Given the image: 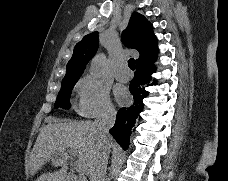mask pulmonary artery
Listing matches in <instances>:
<instances>
[{"instance_id":"1","label":"pulmonary artery","mask_w":228,"mask_h":181,"mask_svg":"<svg viewBox=\"0 0 228 181\" xmlns=\"http://www.w3.org/2000/svg\"><path fill=\"white\" fill-rule=\"evenodd\" d=\"M129 74H117V79H129Z\"/></svg>"}]
</instances>
